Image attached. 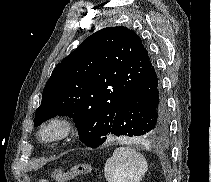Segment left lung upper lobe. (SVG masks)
Segmentation results:
<instances>
[{"label":"left lung upper lobe","mask_w":211,"mask_h":182,"mask_svg":"<svg viewBox=\"0 0 211 182\" xmlns=\"http://www.w3.org/2000/svg\"><path fill=\"white\" fill-rule=\"evenodd\" d=\"M150 67L148 51L135 32L123 26L101 29L54 68L34 124L68 116L79 139L97 148L111 134L118 111Z\"/></svg>","instance_id":"left-lung-upper-lobe-1"}]
</instances>
